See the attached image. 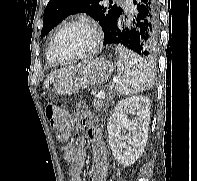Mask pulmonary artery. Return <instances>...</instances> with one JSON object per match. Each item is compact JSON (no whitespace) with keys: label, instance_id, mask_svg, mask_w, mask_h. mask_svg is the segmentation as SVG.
I'll return each mask as SVG.
<instances>
[{"label":"pulmonary artery","instance_id":"obj_1","mask_svg":"<svg viewBox=\"0 0 197 181\" xmlns=\"http://www.w3.org/2000/svg\"><path fill=\"white\" fill-rule=\"evenodd\" d=\"M125 5L128 9H133V3L132 0H126Z\"/></svg>","mask_w":197,"mask_h":181}]
</instances>
